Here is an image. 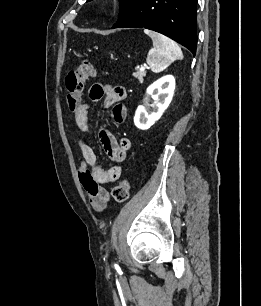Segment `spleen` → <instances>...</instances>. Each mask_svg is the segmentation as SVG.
Returning <instances> with one entry per match:
<instances>
[{"label": "spleen", "instance_id": "obj_1", "mask_svg": "<svg viewBox=\"0 0 261 306\" xmlns=\"http://www.w3.org/2000/svg\"><path fill=\"white\" fill-rule=\"evenodd\" d=\"M144 33L153 41V49L146 59L152 72L159 73L175 60L183 59V53L175 41L149 29H144Z\"/></svg>", "mask_w": 261, "mask_h": 306}]
</instances>
